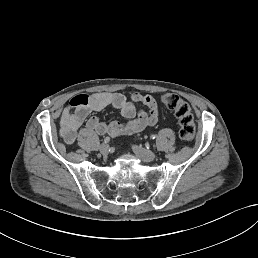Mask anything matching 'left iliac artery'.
Listing matches in <instances>:
<instances>
[{
	"instance_id": "1",
	"label": "left iliac artery",
	"mask_w": 258,
	"mask_h": 258,
	"mask_svg": "<svg viewBox=\"0 0 258 258\" xmlns=\"http://www.w3.org/2000/svg\"><path fill=\"white\" fill-rule=\"evenodd\" d=\"M151 139H153V140L156 139V135H154V134L151 135Z\"/></svg>"
}]
</instances>
